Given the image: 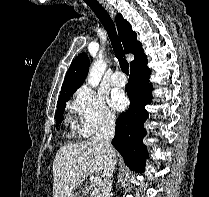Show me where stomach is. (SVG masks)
<instances>
[{
	"instance_id": "stomach-1",
	"label": "stomach",
	"mask_w": 209,
	"mask_h": 197,
	"mask_svg": "<svg viewBox=\"0 0 209 197\" xmlns=\"http://www.w3.org/2000/svg\"><path fill=\"white\" fill-rule=\"evenodd\" d=\"M66 197H80L78 193L75 192H71L70 194H68Z\"/></svg>"
}]
</instances>
